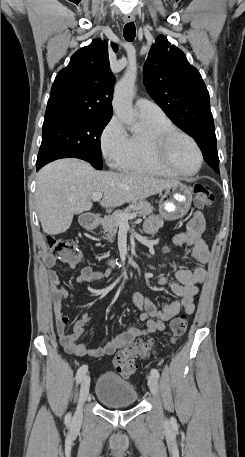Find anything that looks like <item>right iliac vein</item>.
Wrapping results in <instances>:
<instances>
[{
    "mask_svg": "<svg viewBox=\"0 0 245 457\" xmlns=\"http://www.w3.org/2000/svg\"><path fill=\"white\" fill-rule=\"evenodd\" d=\"M90 388V376L85 375L82 378L79 399H78V407L73 416V422L79 423L82 420V413H83V405L88 397Z\"/></svg>",
    "mask_w": 245,
    "mask_h": 457,
    "instance_id": "63e3f726",
    "label": "right iliac vein"
}]
</instances>
